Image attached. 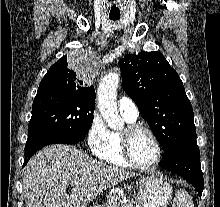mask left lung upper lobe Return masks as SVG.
Returning <instances> with one entry per match:
<instances>
[{"mask_svg":"<svg viewBox=\"0 0 220 207\" xmlns=\"http://www.w3.org/2000/svg\"><path fill=\"white\" fill-rule=\"evenodd\" d=\"M123 88L139 108L164 151L196 137L191 102L177 72L160 52L119 60Z\"/></svg>","mask_w":220,"mask_h":207,"instance_id":"left-lung-upper-lobe-1","label":"left lung upper lobe"}]
</instances>
